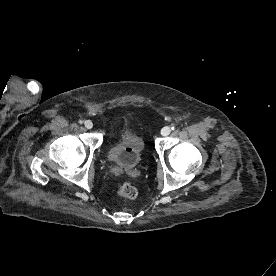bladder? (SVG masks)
<instances>
[{"instance_id":"1","label":"bladder","mask_w":276,"mask_h":276,"mask_svg":"<svg viewBox=\"0 0 276 276\" xmlns=\"http://www.w3.org/2000/svg\"><path fill=\"white\" fill-rule=\"evenodd\" d=\"M144 149L145 145L142 138L132 132L125 131L109 148L108 158L119 166L133 168L140 163Z\"/></svg>"}]
</instances>
